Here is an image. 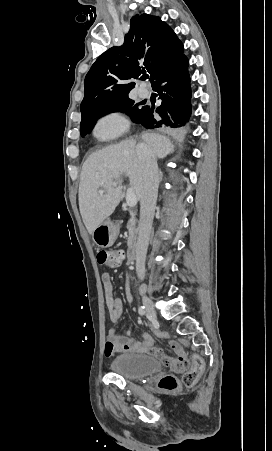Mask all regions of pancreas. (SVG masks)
<instances>
[{
  "mask_svg": "<svg viewBox=\"0 0 272 451\" xmlns=\"http://www.w3.org/2000/svg\"><path fill=\"white\" fill-rule=\"evenodd\" d=\"M137 222L134 220V214H131L130 220H128L127 229L129 233L127 245L128 247H133L136 245L137 235H138V227L136 226Z\"/></svg>",
  "mask_w": 272,
  "mask_h": 451,
  "instance_id": "pancreas-1",
  "label": "pancreas"
}]
</instances>
